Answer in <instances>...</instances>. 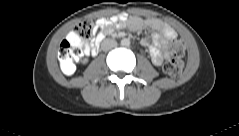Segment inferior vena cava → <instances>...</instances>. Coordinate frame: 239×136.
<instances>
[{
    "label": "inferior vena cava",
    "mask_w": 239,
    "mask_h": 136,
    "mask_svg": "<svg viewBox=\"0 0 239 136\" xmlns=\"http://www.w3.org/2000/svg\"><path fill=\"white\" fill-rule=\"evenodd\" d=\"M117 46V42L113 39H105L101 43V49L103 51H108Z\"/></svg>",
    "instance_id": "602c4592"
}]
</instances>
